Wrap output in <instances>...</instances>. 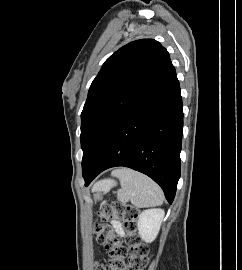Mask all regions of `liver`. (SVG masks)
Here are the masks:
<instances>
[{
	"instance_id": "6515ba94",
	"label": "liver",
	"mask_w": 242,
	"mask_h": 270,
	"mask_svg": "<svg viewBox=\"0 0 242 270\" xmlns=\"http://www.w3.org/2000/svg\"><path fill=\"white\" fill-rule=\"evenodd\" d=\"M106 182L104 181V182H100L98 185H101V184H105Z\"/></svg>"
}]
</instances>
